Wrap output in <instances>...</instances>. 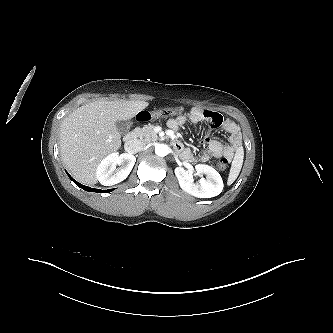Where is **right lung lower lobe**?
Instances as JSON below:
<instances>
[{
	"label": "right lung lower lobe",
	"instance_id": "right-lung-lower-lobe-1",
	"mask_svg": "<svg viewBox=\"0 0 333 333\" xmlns=\"http://www.w3.org/2000/svg\"><path fill=\"white\" fill-rule=\"evenodd\" d=\"M68 174V173H67ZM69 178L76 184L78 185V187L84 189L85 191H90V192H99V193H108L111 192V190H100V189H94L85 185H82L80 183H78L76 180H74L69 174H68Z\"/></svg>",
	"mask_w": 333,
	"mask_h": 333
}]
</instances>
